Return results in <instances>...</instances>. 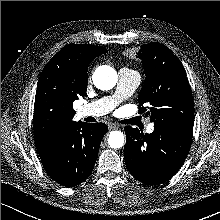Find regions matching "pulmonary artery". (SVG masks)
Listing matches in <instances>:
<instances>
[{
  "instance_id": "obj_1",
  "label": "pulmonary artery",
  "mask_w": 220,
  "mask_h": 220,
  "mask_svg": "<svg viewBox=\"0 0 220 220\" xmlns=\"http://www.w3.org/2000/svg\"><path fill=\"white\" fill-rule=\"evenodd\" d=\"M140 83V76L137 72L122 68L118 72V84L112 96L103 97L79 108L81 116L99 117L111 112L120 102L129 98ZM153 125H148L147 133H152Z\"/></svg>"
}]
</instances>
